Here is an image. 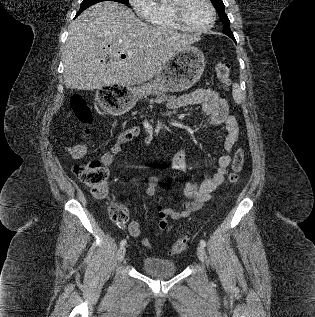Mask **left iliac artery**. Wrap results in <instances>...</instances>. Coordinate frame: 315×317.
Segmentation results:
<instances>
[{"instance_id":"obj_1","label":"left iliac artery","mask_w":315,"mask_h":317,"mask_svg":"<svg viewBox=\"0 0 315 317\" xmlns=\"http://www.w3.org/2000/svg\"><path fill=\"white\" fill-rule=\"evenodd\" d=\"M200 245L203 246V247H205V246H206L205 240L201 239V240H200Z\"/></svg>"}]
</instances>
